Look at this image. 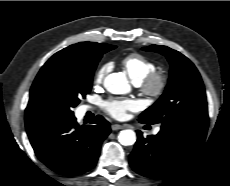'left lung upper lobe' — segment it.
<instances>
[{
	"instance_id": "1",
	"label": "left lung upper lobe",
	"mask_w": 230,
	"mask_h": 186,
	"mask_svg": "<svg viewBox=\"0 0 230 186\" xmlns=\"http://www.w3.org/2000/svg\"><path fill=\"white\" fill-rule=\"evenodd\" d=\"M163 54L171 70L164 94L139 118L142 123L169 125L182 121H208L207 101L201 76L194 64L180 52L166 46L143 48Z\"/></svg>"
}]
</instances>
